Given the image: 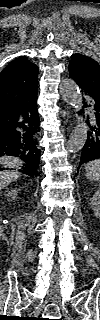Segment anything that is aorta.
Here are the masks:
<instances>
[{
    "mask_svg": "<svg viewBox=\"0 0 100 320\" xmlns=\"http://www.w3.org/2000/svg\"><path fill=\"white\" fill-rule=\"evenodd\" d=\"M60 94L63 100L72 106L76 110H80L82 107V98L80 90L75 81L69 78H65L61 81ZM88 127L83 118H80L77 125L74 127L70 134L69 140L66 145V149L70 153H76L80 151L87 140Z\"/></svg>",
    "mask_w": 100,
    "mask_h": 320,
    "instance_id": "762f6f07",
    "label": "aorta"
}]
</instances>
